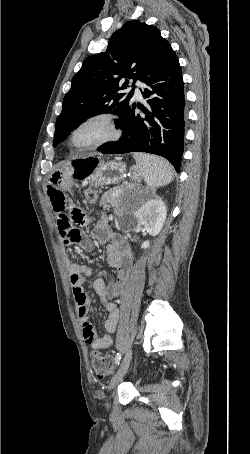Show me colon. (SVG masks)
<instances>
[{"label":"colon","mask_w":250,"mask_h":454,"mask_svg":"<svg viewBox=\"0 0 250 454\" xmlns=\"http://www.w3.org/2000/svg\"><path fill=\"white\" fill-rule=\"evenodd\" d=\"M98 192L93 187H88L84 190V199L87 203L93 204L97 201ZM91 363L94 372L99 378H106L113 372L111 359L108 356L94 351L91 354Z\"/></svg>","instance_id":"1"}]
</instances>
